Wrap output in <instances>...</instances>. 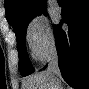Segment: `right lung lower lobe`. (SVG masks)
<instances>
[{
  "label": "right lung lower lobe",
  "instance_id": "obj_1",
  "mask_svg": "<svg viewBox=\"0 0 89 89\" xmlns=\"http://www.w3.org/2000/svg\"><path fill=\"white\" fill-rule=\"evenodd\" d=\"M61 22L54 26L63 79L75 89L89 88V1L65 0ZM65 22L69 29L62 30Z\"/></svg>",
  "mask_w": 89,
  "mask_h": 89
}]
</instances>
